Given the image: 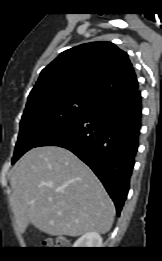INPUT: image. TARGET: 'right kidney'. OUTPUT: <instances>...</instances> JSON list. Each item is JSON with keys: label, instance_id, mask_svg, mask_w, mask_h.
Masks as SVG:
<instances>
[{"label": "right kidney", "instance_id": "right-kidney-1", "mask_svg": "<svg viewBox=\"0 0 162 261\" xmlns=\"http://www.w3.org/2000/svg\"><path fill=\"white\" fill-rule=\"evenodd\" d=\"M101 246V236L97 232H88L74 243L73 248H100Z\"/></svg>", "mask_w": 162, "mask_h": 261}]
</instances>
